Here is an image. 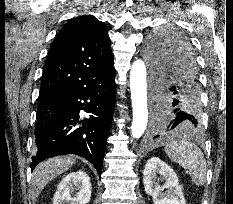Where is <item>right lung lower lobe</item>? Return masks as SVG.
I'll return each instance as SVG.
<instances>
[{"instance_id":"obj_1","label":"right lung lower lobe","mask_w":233,"mask_h":204,"mask_svg":"<svg viewBox=\"0 0 233 204\" xmlns=\"http://www.w3.org/2000/svg\"><path fill=\"white\" fill-rule=\"evenodd\" d=\"M115 69L92 75L72 89L39 100V104L59 112V118L43 134L36 136L31 170L53 156L76 154L89 160L99 175L115 104ZM90 113L79 120L80 110ZM83 122L82 127H77Z\"/></svg>"}]
</instances>
